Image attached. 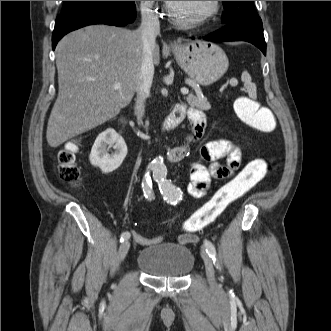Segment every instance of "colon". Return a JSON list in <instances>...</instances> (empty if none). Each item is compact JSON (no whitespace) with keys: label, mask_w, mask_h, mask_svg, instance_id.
Returning <instances> with one entry per match:
<instances>
[{"label":"colon","mask_w":331,"mask_h":331,"mask_svg":"<svg viewBox=\"0 0 331 331\" xmlns=\"http://www.w3.org/2000/svg\"><path fill=\"white\" fill-rule=\"evenodd\" d=\"M235 111L242 122L260 132L276 129L275 118L267 107L261 106L250 97H240L235 101ZM77 146L67 144L58 153V171L62 180L78 185L81 181L80 169L76 164ZM268 165L263 159H255L224 184L203 206L196 210L185 222L186 234L182 243L197 242L195 231L215 222L236 200L243 197L261 182L267 174Z\"/></svg>","instance_id":"obj_1"}]
</instances>
